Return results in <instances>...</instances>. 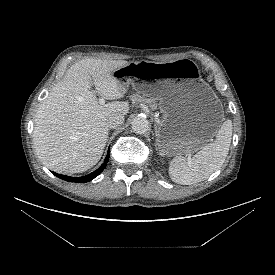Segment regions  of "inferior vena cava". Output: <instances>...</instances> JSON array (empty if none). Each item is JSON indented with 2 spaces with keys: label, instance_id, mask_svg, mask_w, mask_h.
Returning a JSON list of instances; mask_svg holds the SVG:
<instances>
[{
  "label": "inferior vena cava",
  "instance_id": "602c4592",
  "mask_svg": "<svg viewBox=\"0 0 275 275\" xmlns=\"http://www.w3.org/2000/svg\"><path fill=\"white\" fill-rule=\"evenodd\" d=\"M124 116L120 113H113L108 116L106 125L108 128H116L123 124Z\"/></svg>",
  "mask_w": 275,
  "mask_h": 275
}]
</instances>
